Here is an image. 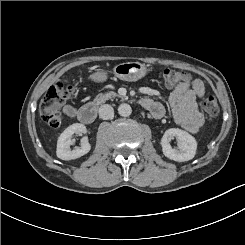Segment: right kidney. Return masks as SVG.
<instances>
[{
	"label": "right kidney",
	"instance_id": "ca27d5eb",
	"mask_svg": "<svg viewBox=\"0 0 245 245\" xmlns=\"http://www.w3.org/2000/svg\"><path fill=\"white\" fill-rule=\"evenodd\" d=\"M86 132L87 129L85 125L80 123H75L67 127L58 138L56 151L57 157L62 160H72L87 154L91 149L87 137H83L81 139V147H75L73 150L70 148L73 144L71 139L72 135L74 133L81 135Z\"/></svg>",
	"mask_w": 245,
	"mask_h": 245
}]
</instances>
